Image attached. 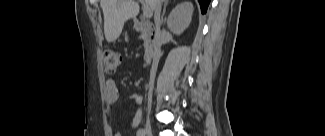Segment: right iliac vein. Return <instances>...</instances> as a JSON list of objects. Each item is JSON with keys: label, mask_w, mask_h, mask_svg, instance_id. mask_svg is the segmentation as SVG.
I'll list each match as a JSON object with an SVG mask.
<instances>
[{"label": "right iliac vein", "mask_w": 325, "mask_h": 136, "mask_svg": "<svg viewBox=\"0 0 325 136\" xmlns=\"http://www.w3.org/2000/svg\"><path fill=\"white\" fill-rule=\"evenodd\" d=\"M145 133L147 136H151L152 135V127L150 125V123H147L145 126Z\"/></svg>", "instance_id": "1"}]
</instances>
